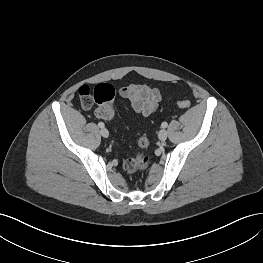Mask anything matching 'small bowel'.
Returning a JSON list of instances; mask_svg holds the SVG:
<instances>
[{
    "instance_id": "small-bowel-1",
    "label": "small bowel",
    "mask_w": 263,
    "mask_h": 263,
    "mask_svg": "<svg viewBox=\"0 0 263 263\" xmlns=\"http://www.w3.org/2000/svg\"><path fill=\"white\" fill-rule=\"evenodd\" d=\"M118 93L130 102L136 113L144 117L150 116L161 100V94L157 88L143 83H132L121 87Z\"/></svg>"
}]
</instances>
